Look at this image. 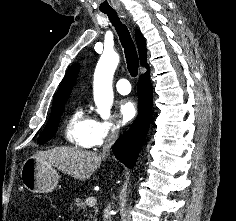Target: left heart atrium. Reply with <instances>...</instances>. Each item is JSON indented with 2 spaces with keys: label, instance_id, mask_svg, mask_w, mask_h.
<instances>
[{
  "label": "left heart atrium",
  "instance_id": "1",
  "mask_svg": "<svg viewBox=\"0 0 236 221\" xmlns=\"http://www.w3.org/2000/svg\"><path fill=\"white\" fill-rule=\"evenodd\" d=\"M119 116L123 123H128L134 119L136 115V107L130 99H122L118 102Z\"/></svg>",
  "mask_w": 236,
  "mask_h": 221
}]
</instances>
